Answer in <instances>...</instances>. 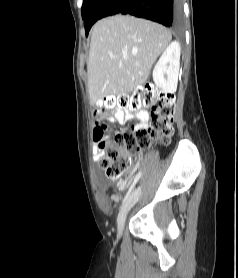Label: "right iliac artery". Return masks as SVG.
<instances>
[{"label":"right iliac artery","instance_id":"1","mask_svg":"<svg viewBox=\"0 0 238 278\" xmlns=\"http://www.w3.org/2000/svg\"><path fill=\"white\" fill-rule=\"evenodd\" d=\"M141 174H142L141 172H138L137 175L135 176L134 181H133V183L131 184V186H130V188H129V190H128V192H127V194H126V196H125V198H124V200H123V204L125 203V201H126L127 198L129 197V195H130L131 191L133 190L135 184L137 183V181H138L139 178L141 177Z\"/></svg>","mask_w":238,"mask_h":278}]
</instances>
